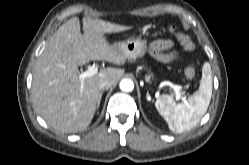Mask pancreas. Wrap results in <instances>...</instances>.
Segmentation results:
<instances>
[{"label": "pancreas", "instance_id": "obj_1", "mask_svg": "<svg viewBox=\"0 0 249 165\" xmlns=\"http://www.w3.org/2000/svg\"><path fill=\"white\" fill-rule=\"evenodd\" d=\"M152 77H153L152 74L146 75V77H145L146 82H149V83H150V79H151Z\"/></svg>", "mask_w": 249, "mask_h": 165}]
</instances>
